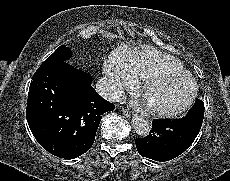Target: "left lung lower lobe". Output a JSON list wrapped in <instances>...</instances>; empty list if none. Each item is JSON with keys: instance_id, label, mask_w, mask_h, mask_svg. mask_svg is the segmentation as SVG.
<instances>
[{"instance_id": "1", "label": "left lung lower lobe", "mask_w": 230, "mask_h": 181, "mask_svg": "<svg viewBox=\"0 0 230 181\" xmlns=\"http://www.w3.org/2000/svg\"><path fill=\"white\" fill-rule=\"evenodd\" d=\"M204 103L196 100L188 114L175 120H153L152 131L135 140L143 157L155 161H169L182 154L195 140L202 126Z\"/></svg>"}]
</instances>
